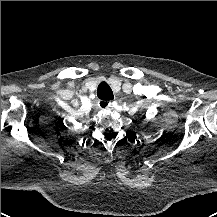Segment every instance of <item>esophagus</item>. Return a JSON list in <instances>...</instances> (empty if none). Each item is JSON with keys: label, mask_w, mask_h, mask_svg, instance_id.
<instances>
[{"label": "esophagus", "mask_w": 217, "mask_h": 217, "mask_svg": "<svg viewBox=\"0 0 217 217\" xmlns=\"http://www.w3.org/2000/svg\"><path fill=\"white\" fill-rule=\"evenodd\" d=\"M110 103L111 102H108V101H105V100H99V104L101 105V106H109L110 105Z\"/></svg>", "instance_id": "esophagus-1"}]
</instances>
